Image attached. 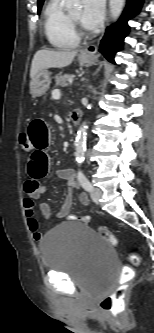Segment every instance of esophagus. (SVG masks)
<instances>
[{"label": "esophagus", "instance_id": "esophagus-1", "mask_svg": "<svg viewBox=\"0 0 154 333\" xmlns=\"http://www.w3.org/2000/svg\"><path fill=\"white\" fill-rule=\"evenodd\" d=\"M96 52H97V47L95 45H91L88 48H86L84 51H82V54L91 56L94 55Z\"/></svg>", "mask_w": 154, "mask_h": 333}]
</instances>
